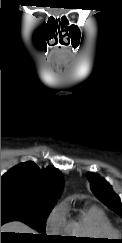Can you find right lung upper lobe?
<instances>
[{
	"mask_svg": "<svg viewBox=\"0 0 122 243\" xmlns=\"http://www.w3.org/2000/svg\"><path fill=\"white\" fill-rule=\"evenodd\" d=\"M64 179L58 169H40L34 162L19 164L1 178V197H17L41 204H55Z\"/></svg>",
	"mask_w": 122,
	"mask_h": 243,
	"instance_id": "right-lung-upper-lobe-1",
	"label": "right lung upper lobe"
}]
</instances>
